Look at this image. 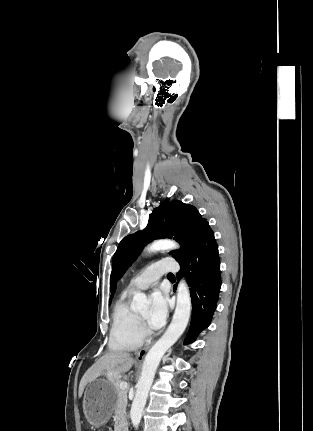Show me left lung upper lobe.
<instances>
[{"mask_svg": "<svg viewBox=\"0 0 313 431\" xmlns=\"http://www.w3.org/2000/svg\"><path fill=\"white\" fill-rule=\"evenodd\" d=\"M208 226L194 206L181 201L162 203L149 215L143 231L130 234L120 242L113 256L111 286L123 276L147 243L160 238L175 239L181 248L170 254L179 263L191 254Z\"/></svg>", "mask_w": 313, "mask_h": 431, "instance_id": "1", "label": "left lung upper lobe"}]
</instances>
